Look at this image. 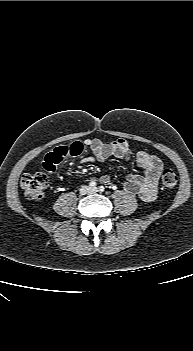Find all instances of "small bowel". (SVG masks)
I'll return each instance as SVG.
<instances>
[{
  "mask_svg": "<svg viewBox=\"0 0 193 351\" xmlns=\"http://www.w3.org/2000/svg\"><path fill=\"white\" fill-rule=\"evenodd\" d=\"M86 149H90L92 155L83 157L81 159L82 164L92 161H105L110 158L127 160L134 158L144 174L129 173L126 176L124 191L130 195H138L147 202L155 199L159 179L164 169L162 161L156 156L143 151L133 155L128 142L123 138L114 141L91 138L84 141L56 145L45 158L43 168L48 173H53L58 163L62 160L74 156H82ZM98 181L106 184L110 182V177L102 175L98 178Z\"/></svg>",
  "mask_w": 193,
  "mask_h": 351,
  "instance_id": "small-bowel-1",
  "label": "small bowel"
}]
</instances>
